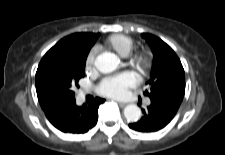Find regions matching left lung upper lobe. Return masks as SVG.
Segmentation results:
<instances>
[{"label":"left lung upper lobe","instance_id":"5c2ea615","mask_svg":"<svg viewBox=\"0 0 225 155\" xmlns=\"http://www.w3.org/2000/svg\"><path fill=\"white\" fill-rule=\"evenodd\" d=\"M142 37L149 43L154 54L149 90L145 91L151 100H177L182 102L185 94V74L183 66L172 50L160 38L144 33Z\"/></svg>","mask_w":225,"mask_h":155}]
</instances>
